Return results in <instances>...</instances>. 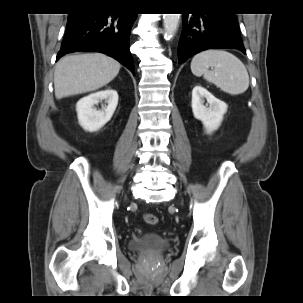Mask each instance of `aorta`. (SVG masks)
<instances>
[{
	"instance_id": "obj_1",
	"label": "aorta",
	"mask_w": 303,
	"mask_h": 303,
	"mask_svg": "<svg viewBox=\"0 0 303 303\" xmlns=\"http://www.w3.org/2000/svg\"><path fill=\"white\" fill-rule=\"evenodd\" d=\"M180 14H164L163 25L165 30V36L172 38L179 26Z\"/></svg>"
}]
</instances>
